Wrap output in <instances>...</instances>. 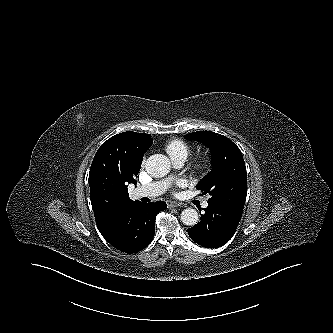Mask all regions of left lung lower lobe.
Segmentation results:
<instances>
[{
  "label": "left lung lower lobe",
  "mask_w": 333,
  "mask_h": 333,
  "mask_svg": "<svg viewBox=\"0 0 333 333\" xmlns=\"http://www.w3.org/2000/svg\"><path fill=\"white\" fill-rule=\"evenodd\" d=\"M204 211L201 221L188 229L189 236L202 247L223 246L235 233L242 213L211 201Z\"/></svg>",
  "instance_id": "1"
}]
</instances>
